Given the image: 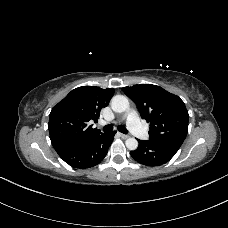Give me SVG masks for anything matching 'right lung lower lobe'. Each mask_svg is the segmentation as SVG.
Wrapping results in <instances>:
<instances>
[{"label":"right lung lower lobe","mask_w":228,"mask_h":228,"mask_svg":"<svg viewBox=\"0 0 228 228\" xmlns=\"http://www.w3.org/2000/svg\"><path fill=\"white\" fill-rule=\"evenodd\" d=\"M115 133V131L102 133L89 140L61 145L55 150L67 164L74 168L93 167L106 156Z\"/></svg>","instance_id":"obj_1"}]
</instances>
